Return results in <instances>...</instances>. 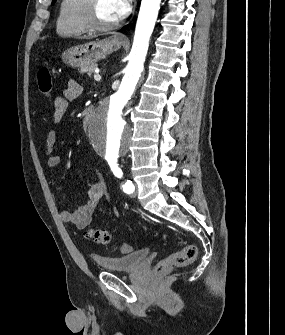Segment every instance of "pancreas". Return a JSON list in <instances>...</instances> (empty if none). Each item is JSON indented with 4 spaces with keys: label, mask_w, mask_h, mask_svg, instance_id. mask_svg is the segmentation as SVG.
Returning a JSON list of instances; mask_svg holds the SVG:
<instances>
[{
    "label": "pancreas",
    "mask_w": 285,
    "mask_h": 335,
    "mask_svg": "<svg viewBox=\"0 0 285 335\" xmlns=\"http://www.w3.org/2000/svg\"><path fill=\"white\" fill-rule=\"evenodd\" d=\"M96 68H98V64H90V66H83V68H80V74H82V76L85 79H88L89 74H93Z\"/></svg>",
    "instance_id": "cf45deb5"
}]
</instances>
